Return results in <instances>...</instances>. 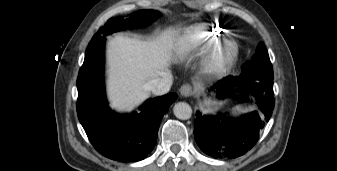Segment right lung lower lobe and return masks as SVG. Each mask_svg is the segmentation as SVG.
Returning <instances> with one entry per match:
<instances>
[{
    "label": "right lung lower lobe",
    "instance_id": "right-lung-lower-lobe-1",
    "mask_svg": "<svg viewBox=\"0 0 337 171\" xmlns=\"http://www.w3.org/2000/svg\"><path fill=\"white\" fill-rule=\"evenodd\" d=\"M104 36L88 45L77 78V114L90 142L103 156L120 161L143 160L153 150L163 115L177 99L167 94L148 100L129 115L112 112L104 92Z\"/></svg>",
    "mask_w": 337,
    "mask_h": 171
}]
</instances>
